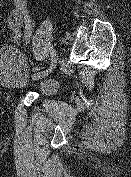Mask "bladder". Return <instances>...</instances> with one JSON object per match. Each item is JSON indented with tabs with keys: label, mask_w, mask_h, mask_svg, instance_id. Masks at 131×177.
<instances>
[{
	"label": "bladder",
	"mask_w": 131,
	"mask_h": 177,
	"mask_svg": "<svg viewBox=\"0 0 131 177\" xmlns=\"http://www.w3.org/2000/svg\"><path fill=\"white\" fill-rule=\"evenodd\" d=\"M30 75L27 62L15 48L8 47L0 50V78L7 91L19 93L32 91L40 96H51L58 90L54 78H34L27 81Z\"/></svg>",
	"instance_id": "bladder-1"
}]
</instances>
